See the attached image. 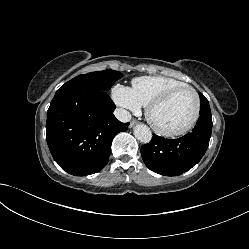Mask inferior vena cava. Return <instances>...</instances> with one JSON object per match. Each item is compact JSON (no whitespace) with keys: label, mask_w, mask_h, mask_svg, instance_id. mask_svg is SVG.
<instances>
[{"label":"inferior vena cava","mask_w":249,"mask_h":249,"mask_svg":"<svg viewBox=\"0 0 249 249\" xmlns=\"http://www.w3.org/2000/svg\"><path fill=\"white\" fill-rule=\"evenodd\" d=\"M114 115L121 122H129L131 119V114L122 108L115 109Z\"/></svg>","instance_id":"602c4592"}]
</instances>
